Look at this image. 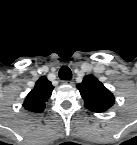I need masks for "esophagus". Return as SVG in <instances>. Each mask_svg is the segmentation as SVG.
<instances>
[{
  "mask_svg": "<svg viewBox=\"0 0 137 145\" xmlns=\"http://www.w3.org/2000/svg\"><path fill=\"white\" fill-rule=\"evenodd\" d=\"M62 84L72 86L74 84V82L71 80H64V81H62Z\"/></svg>",
  "mask_w": 137,
  "mask_h": 145,
  "instance_id": "obj_1",
  "label": "esophagus"
}]
</instances>
